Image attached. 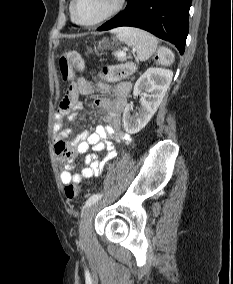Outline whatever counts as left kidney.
<instances>
[{
	"label": "left kidney",
	"instance_id": "5707ae66",
	"mask_svg": "<svg viewBox=\"0 0 233 284\" xmlns=\"http://www.w3.org/2000/svg\"><path fill=\"white\" fill-rule=\"evenodd\" d=\"M173 72L164 68H149L136 81L133 95L136 97L145 92L146 98L140 100L141 108L136 116H131L130 105L123 113L124 129L129 134H135L143 129L151 120L160 106L172 81Z\"/></svg>",
	"mask_w": 233,
	"mask_h": 284
}]
</instances>
